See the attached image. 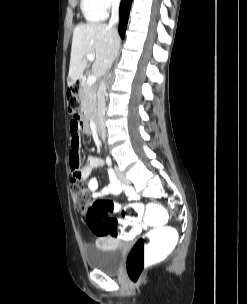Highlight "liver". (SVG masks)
Returning a JSON list of instances; mask_svg holds the SVG:
<instances>
[{"instance_id": "liver-1", "label": "liver", "mask_w": 247, "mask_h": 304, "mask_svg": "<svg viewBox=\"0 0 247 304\" xmlns=\"http://www.w3.org/2000/svg\"><path fill=\"white\" fill-rule=\"evenodd\" d=\"M119 43L113 27L104 23H86L75 27L72 38L68 86L73 85L87 66V53L96 56L92 72L98 78L109 69Z\"/></svg>"}]
</instances>
